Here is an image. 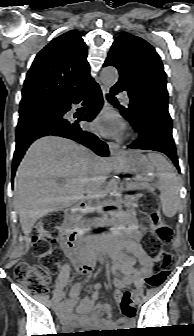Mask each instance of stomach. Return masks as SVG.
<instances>
[{
  "instance_id": "stomach-1",
  "label": "stomach",
  "mask_w": 194,
  "mask_h": 336,
  "mask_svg": "<svg viewBox=\"0 0 194 336\" xmlns=\"http://www.w3.org/2000/svg\"><path fill=\"white\" fill-rule=\"evenodd\" d=\"M126 173L136 175V181L149 185L155 178L154 165L138 152H126L117 158Z\"/></svg>"
}]
</instances>
